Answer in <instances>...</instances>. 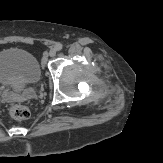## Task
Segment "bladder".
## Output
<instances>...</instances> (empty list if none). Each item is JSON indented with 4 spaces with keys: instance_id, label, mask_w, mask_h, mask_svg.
I'll list each match as a JSON object with an SVG mask.
<instances>
[{
    "instance_id": "31cf9c89",
    "label": "bladder",
    "mask_w": 163,
    "mask_h": 163,
    "mask_svg": "<svg viewBox=\"0 0 163 163\" xmlns=\"http://www.w3.org/2000/svg\"><path fill=\"white\" fill-rule=\"evenodd\" d=\"M40 77V64L30 52L16 48L0 51V84L24 88L37 83Z\"/></svg>"
}]
</instances>
